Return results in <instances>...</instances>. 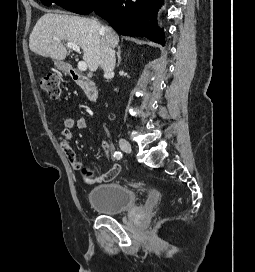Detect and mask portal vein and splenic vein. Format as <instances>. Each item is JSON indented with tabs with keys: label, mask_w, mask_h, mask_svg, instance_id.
Listing matches in <instances>:
<instances>
[{
	"label": "portal vein and splenic vein",
	"mask_w": 255,
	"mask_h": 272,
	"mask_svg": "<svg viewBox=\"0 0 255 272\" xmlns=\"http://www.w3.org/2000/svg\"><path fill=\"white\" fill-rule=\"evenodd\" d=\"M57 41H59L58 39H56ZM66 46L69 49H73L74 51H76L77 53H80V47L72 42H67ZM78 69L81 71H86L87 70V63L85 61H79L78 62Z\"/></svg>",
	"instance_id": "1"
}]
</instances>
